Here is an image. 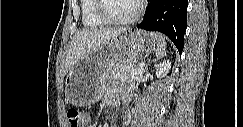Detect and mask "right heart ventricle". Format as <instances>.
Returning <instances> with one entry per match:
<instances>
[{
  "label": "right heart ventricle",
  "mask_w": 243,
  "mask_h": 127,
  "mask_svg": "<svg viewBox=\"0 0 243 127\" xmlns=\"http://www.w3.org/2000/svg\"><path fill=\"white\" fill-rule=\"evenodd\" d=\"M82 23L87 28L105 26V22L97 13L96 0H82L80 4Z\"/></svg>",
  "instance_id": "obj_1"
}]
</instances>
